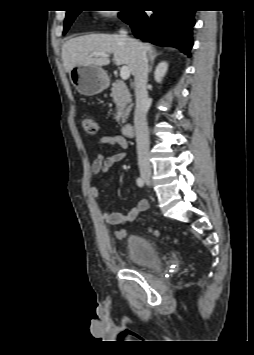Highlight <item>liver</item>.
Returning <instances> with one entry per match:
<instances>
[{
	"instance_id": "1",
	"label": "liver",
	"mask_w": 254,
	"mask_h": 355,
	"mask_svg": "<svg viewBox=\"0 0 254 355\" xmlns=\"http://www.w3.org/2000/svg\"><path fill=\"white\" fill-rule=\"evenodd\" d=\"M137 47L146 53L154 51L150 44L125 38L118 34H90L66 41L62 46V61L65 72L69 73L74 67L83 64L105 66L110 63L108 57L91 56L93 52L113 54L117 66L127 65L134 75L136 68Z\"/></svg>"
}]
</instances>
